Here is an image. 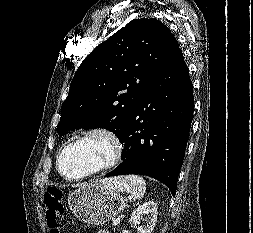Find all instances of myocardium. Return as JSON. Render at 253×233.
<instances>
[{"label": "myocardium", "instance_id": "myocardium-1", "mask_svg": "<svg viewBox=\"0 0 253 233\" xmlns=\"http://www.w3.org/2000/svg\"><path fill=\"white\" fill-rule=\"evenodd\" d=\"M93 137H100L103 138L105 140H107L110 145H111V149H112V153L111 156L109 158V160L103 164H101L100 166L96 167L95 169L84 173L82 175L79 176H75V177H70L68 175H66L61 167V162H62V157L63 154L65 153V151L74 143L85 140V139H89V138H93ZM123 152H124V148H123V144L122 141L120 139V137L118 136V134L108 128L105 127H93V128H89L87 130L82 131L81 133L71 137L60 149V151L57 154V160H56V165H57V170L59 172V174L67 181L69 182H77L86 178H89L91 176H94L96 174H99L101 172L113 169L114 167H116L119 162L122 159L123 156Z\"/></svg>", "mask_w": 253, "mask_h": 233}]
</instances>
